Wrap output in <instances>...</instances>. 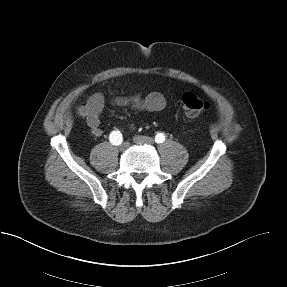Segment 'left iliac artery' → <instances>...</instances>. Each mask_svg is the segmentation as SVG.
I'll return each instance as SVG.
<instances>
[{"label": "left iliac artery", "instance_id": "1", "mask_svg": "<svg viewBox=\"0 0 287 287\" xmlns=\"http://www.w3.org/2000/svg\"><path fill=\"white\" fill-rule=\"evenodd\" d=\"M165 141V135L163 133H158L155 136V142L156 143H163Z\"/></svg>", "mask_w": 287, "mask_h": 287}]
</instances>
